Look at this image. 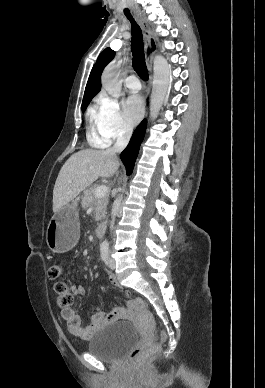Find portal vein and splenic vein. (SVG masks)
Masks as SVG:
<instances>
[{
	"mask_svg": "<svg viewBox=\"0 0 265 388\" xmlns=\"http://www.w3.org/2000/svg\"><path fill=\"white\" fill-rule=\"evenodd\" d=\"M90 170H93V166H90ZM108 192L107 186H99L97 190H95V198H104Z\"/></svg>",
	"mask_w": 265,
	"mask_h": 388,
	"instance_id": "1",
	"label": "portal vein and splenic vein"
}]
</instances>
